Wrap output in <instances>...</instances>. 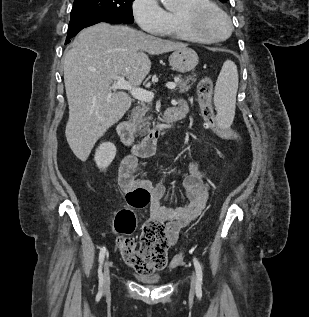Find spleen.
I'll return each mask as SVG.
<instances>
[{
	"label": "spleen",
	"mask_w": 309,
	"mask_h": 317,
	"mask_svg": "<svg viewBox=\"0 0 309 317\" xmlns=\"http://www.w3.org/2000/svg\"><path fill=\"white\" fill-rule=\"evenodd\" d=\"M238 82L237 66L233 61L226 60L216 81L214 92L216 121L220 127H229L233 122Z\"/></svg>",
	"instance_id": "obj_1"
}]
</instances>
